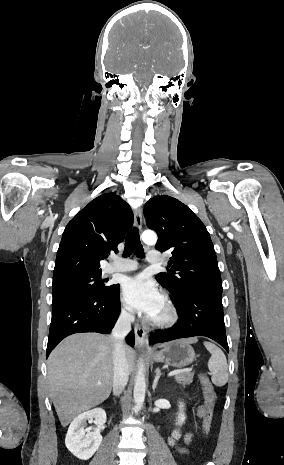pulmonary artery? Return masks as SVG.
<instances>
[{"mask_svg":"<svg viewBox=\"0 0 284 465\" xmlns=\"http://www.w3.org/2000/svg\"><path fill=\"white\" fill-rule=\"evenodd\" d=\"M165 261V256L160 250H148L146 255L147 263H163ZM137 268V263L132 260H123V259H114L110 263L105 272L108 274H113L116 272H130Z\"/></svg>","mask_w":284,"mask_h":465,"instance_id":"e3ab8cb5","label":"pulmonary artery"}]
</instances>
